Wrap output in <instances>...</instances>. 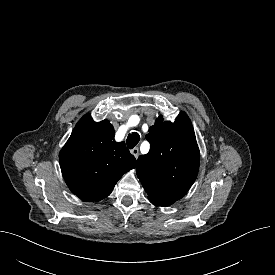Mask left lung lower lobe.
<instances>
[{"label":"left lung lower lobe","mask_w":275,"mask_h":275,"mask_svg":"<svg viewBox=\"0 0 275 275\" xmlns=\"http://www.w3.org/2000/svg\"><path fill=\"white\" fill-rule=\"evenodd\" d=\"M150 202L156 206H169L171 205L172 203H169V202H164V201H154V200H150Z\"/></svg>","instance_id":"1"}]
</instances>
